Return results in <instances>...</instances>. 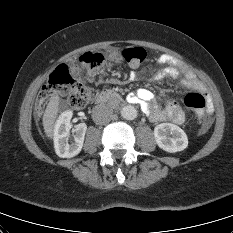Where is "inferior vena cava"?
Instances as JSON below:
<instances>
[{
  "instance_id": "obj_1",
  "label": "inferior vena cava",
  "mask_w": 233,
  "mask_h": 233,
  "mask_svg": "<svg viewBox=\"0 0 233 233\" xmlns=\"http://www.w3.org/2000/svg\"><path fill=\"white\" fill-rule=\"evenodd\" d=\"M92 118L96 124H108L113 119V109L108 104H98L93 108Z\"/></svg>"
}]
</instances>
